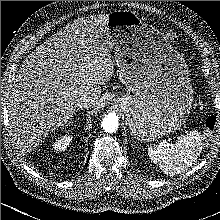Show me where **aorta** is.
I'll return each instance as SVG.
<instances>
[{
  "instance_id": "762f6f07",
  "label": "aorta",
  "mask_w": 220,
  "mask_h": 220,
  "mask_svg": "<svg viewBox=\"0 0 220 220\" xmlns=\"http://www.w3.org/2000/svg\"><path fill=\"white\" fill-rule=\"evenodd\" d=\"M105 132L114 133L118 129V116L115 113L106 115L101 123Z\"/></svg>"
}]
</instances>
